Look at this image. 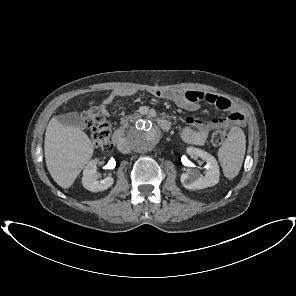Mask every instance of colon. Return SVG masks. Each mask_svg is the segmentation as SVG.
<instances>
[{
    "instance_id": "5ec220e1",
    "label": "colon",
    "mask_w": 296,
    "mask_h": 296,
    "mask_svg": "<svg viewBox=\"0 0 296 296\" xmlns=\"http://www.w3.org/2000/svg\"><path fill=\"white\" fill-rule=\"evenodd\" d=\"M81 118L92 132L93 145L102 151H108L112 147L111 127L105 115L93 104L81 113ZM228 138L224 129L216 130L211 137L213 145H222Z\"/></svg>"
}]
</instances>
